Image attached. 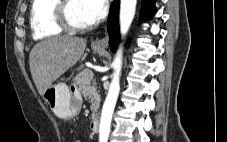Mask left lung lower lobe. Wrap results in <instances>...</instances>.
<instances>
[{
	"instance_id": "obj_1",
	"label": "left lung lower lobe",
	"mask_w": 227,
	"mask_h": 142,
	"mask_svg": "<svg viewBox=\"0 0 227 142\" xmlns=\"http://www.w3.org/2000/svg\"><path fill=\"white\" fill-rule=\"evenodd\" d=\"M119 3L120 0H114L110 7L108 17V32L110 36L111 50L115 52L119 42ZM155 0H142L140 20L150 18L156 13Z\"/></svg>"
}]
</instances>
